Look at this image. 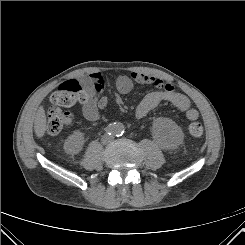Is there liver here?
Masks as SVG:
<instances>
[{
  "label": "liver",
  "mask_w": 245,
  "mask_h": 245,
  "mask_svg": "<svg viewBox=\"0 0 245 245\" xmlns=\"http://www.w3.org/2000/svg\"><path fill=\"white\" fill-rule=\"evenodd\" d=\"M46 131V115L44 108L42 106L39 107L35 122H34V132L38 138H42Z\"/></svg>",
  "instance_id": "liver-1"
}]
</instances>
